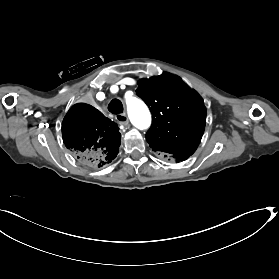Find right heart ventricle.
I'll return each instance as SVG.
<instances>
[{
    "label": "right heart ventricle",
    "mask_w": 279,
    "mask_h": 279,
    "mask_svg": "<svg viewBox=\"0 0 279 279\" xmlns=\"http://www.w3.org/2000/svg\"><path fill=\"white\" fill-rule=\"evenodd\" d=\"M99 50V49H96ZM107 58V56L105 54H103L102 52H97L96 54L90 56L87 61L90 63L93 62H101L103 60H105ZM137 95L134 91H127L124 93V95L121 97L120 99V103L123 105V107L125 109H128L133 102L136 100Z\"/></svg>",
    "instance_id": "right-heart-ventricle-1"
}]
</instances>
